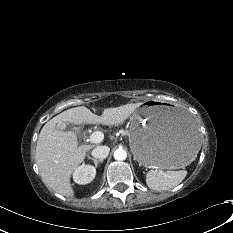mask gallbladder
I'll return each instance as SVG.
<instances>
[{
  "label": "gallbladder",
  "instance_id": "gallbladder-1",
  "mask_svg": "<svg viewBox=\"0 0 233 233\" xmlns=\"http://www.w3.org/2000/svg\"><path fill=\"white\" fill-rule=\"evenodd\" d=\"M65 127H66V125L64 123L57 125V128H59L60 130H63Z\"/></svg>",
  "mask_w": 233,
  "mask_h": 233
}]
</instances>
